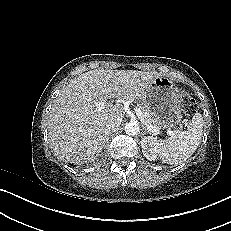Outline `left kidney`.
Returning a JSON list of instances; mask_svg holds the SVG:
<instances>
[{
	"mask_svg": "<svg viewBox=\"0 0 231 231\" xmlns=\"http://www.w3.org/2000/svg\"><path fill=\"white\" fill-rule=\"evenodd\" d=\"M158 144L157 138L155 137L147 136L142 138V152L149 161H154L157 158Z\"/></svg>",
	"mask_w": 231,
	"mask_h": 231,
	"instance_id": "left-kidney-1",
	"label": "left kidney"
}]
</instances>
